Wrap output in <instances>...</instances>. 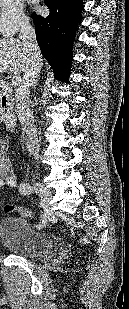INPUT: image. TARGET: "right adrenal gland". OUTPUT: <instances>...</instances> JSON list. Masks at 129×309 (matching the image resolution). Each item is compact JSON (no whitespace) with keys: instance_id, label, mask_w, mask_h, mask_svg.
Instances as JSON below:
<instances>
[{"instance_id":"right-adrenal-gland-1","label":"right adrenal gland","mask_w":129,"mask_h":309,"mask_svg":"<svg viewBox=\"0 0 129 309\" xmlns=\"http://www.w3.org/2000/svg\"><path fill=\"white\" fill-rule=\"evenodd\" d=\"M36 85H37V83H35V85L33 86L34 89H35Z\"/></svg>"}]
</instances>
